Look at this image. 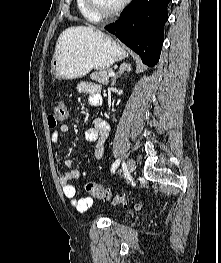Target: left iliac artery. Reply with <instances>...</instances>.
<instances>
[{"instance_id": "1", "label": "left iliac artery", "mask_w": 221, "mask_h": 263, "mask_svg": "<svg viewBox=\"0 0 221 263\" xmlns=\"http://www.w3.org/2000/svg\"><path fill=\"white\" fill-rule=\"evenodd\" d=\"M119 164H120V159H117V160L113 163V165H112V168H111V172H112V173L115 172V170L117 169V167L119 166Z\"/></svg>"}]
</instances>
